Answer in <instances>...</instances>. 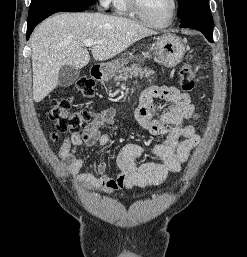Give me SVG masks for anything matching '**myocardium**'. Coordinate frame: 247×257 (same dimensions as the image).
I'll return each instance as SVG.
<instances>
[{
	"instance_id": "myocardium-1",
	"label": "myocardium",
	"mask_w": 247,
	"mask_h": 257,
	"mask_svg": "<svg viewBox=\"0 0 247 257\" xmlns=\"http://www.w3.org/2000/svg\"><path fill=\"white\" fill-rule=\"evenodd\" d=\"M172 1H173V9H172L171 15L163 23H156V22L150 20L144 14L139 0H127V4L129 6L130 10L133 12V14L136 17H138L142 22H144L146 25H148L150 27H154V28H165L173 22L174 18L176 17L177 11H178V7H179L178 0H172Z\"/></svg>"
}]
</instances>
